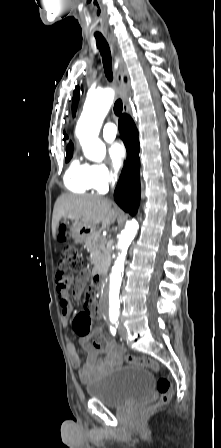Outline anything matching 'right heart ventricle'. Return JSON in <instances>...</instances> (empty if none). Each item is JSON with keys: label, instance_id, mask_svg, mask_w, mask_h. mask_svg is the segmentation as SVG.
<instances>
[{"label": "right heart ventricle", "instance_id": "obj_1", "mask_svg": "<svg viewBox=\"0 0 221 448\" xmlns=\"http://www.w3.org/2000/svg\"><path fill=\"white\" fill-rule=\"evenodd\" d=\"M89 167L78 160H74L68 168L64 183L68 189L77 193H87L94 189L89 175Z\"/></svg>", "mask_w": 221, "mask_h": 448}]
</instances>
